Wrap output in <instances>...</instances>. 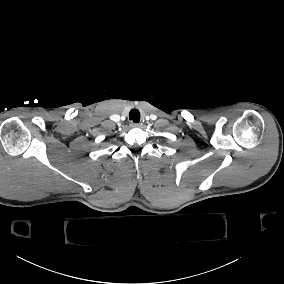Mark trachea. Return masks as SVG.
<instances>
[{
	"mask_svg": "<svg viewBox=\"0 0 284 284\" xmlns=\"http://www.w3.org/2000/svg\"><path fill=\"white\" fill-rule=\"evenodd\" d=\"M129 119L135 123L140 121V113L137 109H132L129 113Z\"/></svg>",
	"mask_w": 284,
	"mask_h": 284,
	"instance_id": "3493384b",
	"label": "trachea"
}]
</instances>
